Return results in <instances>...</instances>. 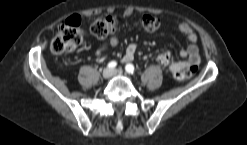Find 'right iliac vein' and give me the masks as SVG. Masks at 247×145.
Here are the masks:
<instances>
[{"mask_svg":"<svg viewBox=\"0 0 247 145\" xmlns=\"http://www.w3.org/2000/svg\"><path fill=\"white\" fill-rule=\"evenodd\" d=\"M112 74H113V71L110 68H106L102 72V76L104 79L110 78L112 76Z\"/></svg>","mask_w":247,"mask_h":145,"instance_id":"1","label":"right iliac vein"}]
</instances>
